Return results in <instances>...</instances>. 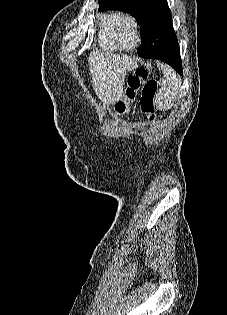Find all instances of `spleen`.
<instances>
[{
    "label": "spleen",
    "mask_w": 227,
    "mask_h": 315,
    "mask_svg": "<svg viewBox=\"0 0 227 315\" xmlns=\"http://www.w3.org/2000/svg\"><path fill=\"white\" fill-rule=\"evenodd\" d=\"M162 87L157 94V104L160 109H170L178 93V82L176 75L169 68L164 69Z\"/></svg>",
    "instance_id": "1"
}]
</instances>
